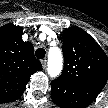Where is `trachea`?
<instances>
[{"instance_id":"1","label":"trachea","mask_w":108,"mask_h":108,"mask_svg":"<svg viewBox=\"0 0 108 108\" xmlns=\"http://www.w3.org/2000/svg\"><path fill=\"white\" fill-rule=\"evenodd\" d=\"M45 50L43 48H38L35 52V55L38 59H43L45 57Z\"/></svg>"}]
</instances>
